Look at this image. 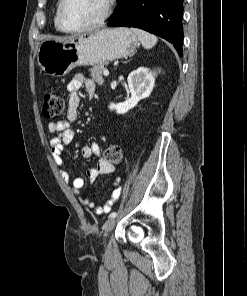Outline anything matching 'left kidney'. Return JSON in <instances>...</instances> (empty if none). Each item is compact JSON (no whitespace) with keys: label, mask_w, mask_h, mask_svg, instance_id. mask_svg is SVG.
Returning a JSON list of instances; mask_svg holds the SVG:
<instances>
[{"label":"left kidney","mask_w":247,"mask_h":296,"mask_svg":"<svg viewBox=\"0 0 247 296\" xmlns=\"http://www.w3.org/2000/svg\"><path fill=\"white\" fill-rule=\"evenodd\" d=\"M155 85V77L152 71L146 67H140L131 72L128 76V86L131 92V98L123 103H110L109 109L116 110L117 114L127 113L134 108L142 99L149 97Z\"/></svg>","instance_id":"1"}]
</instances>
